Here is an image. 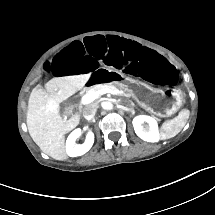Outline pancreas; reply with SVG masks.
Instances as JSON below:
<instances>
[{"mask_svg": "<svg viewBox=\"0 0 215 215\" xmlns=\"http://www.w3.org/2000/svg\"><path fill=\"white\" fill-rule=\"evenodd\" d=\"M105 87H108V88H115L114 84L113 83H107V84H97V85H93V86H90V87H85L83 88V90L81 91V95H84L88 92H95L97 90H100V89H103ZM116 89V88H115ZM124 96H128L127 94L125 93H122Z\"/></svg>", "mask_w": 215, "mask_h": 215, "instance_id": "cf45deb5", "label": "pancreas"}]
</instances>
